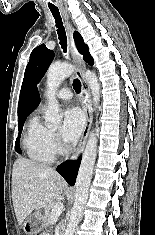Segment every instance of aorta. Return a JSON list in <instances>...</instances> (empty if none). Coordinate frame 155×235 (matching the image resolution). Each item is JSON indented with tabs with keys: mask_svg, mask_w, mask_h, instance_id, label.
<instances>
[{
	"mask_svg": "<svg viewBox=\"0 0 155 235\" xmlns=\"http://www.w3.org/2000/svg\"><path fill=\"white\" fill-rule=\"evenodd\" d=\"M75 67L68 63L59 65H51L47 72V81L45 96L48 100V106L45 111V119L53 126H59L62 122V116L59 112V104L55 96V92L61 82L72 75ZM82 77L87 81L92 97L94 108H97L100 101V83L94 72L86 70L82 73ZM97 155V134L93 130L90 133L80 168L76 179L75 202L71 210L70 219L65 230V235H73L77 227L84 205L88 199L89 187L92 179L93 168Z\"/></svg>",
	"mask_w": 155,
	"mask_h": 235,
	"instance_id": "762f6f07",
	"label": "aorta"
}]
</instances>
